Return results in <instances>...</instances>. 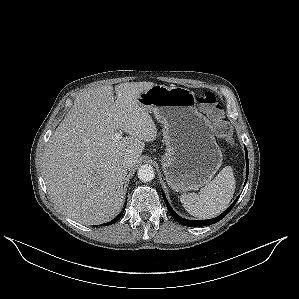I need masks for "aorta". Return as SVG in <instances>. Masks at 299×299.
<instances>
[{
  "label": "aorta",
  "instance_id": "762f6f07",
  "mask_svg": "<svg viewBox=\"0 0 299 299\" xmlns=\"http://www.w3.org/2000/svg\"><path fill=\"white\" fill-rule=\"evenodd\" d=\"M137 174H138V178L142 182H150L155 177V172L153 170V167L151 165H147V164L140 166Z\"/></svg>",
  "mask_w": 299,
  "mask_h": 299
}]
</instances>
